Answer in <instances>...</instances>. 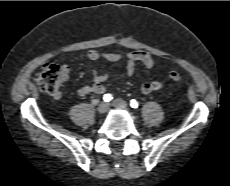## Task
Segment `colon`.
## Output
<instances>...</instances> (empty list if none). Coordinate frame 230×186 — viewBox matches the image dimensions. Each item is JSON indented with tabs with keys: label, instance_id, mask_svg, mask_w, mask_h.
I'll use <instances>...</instances> for the list:
<instances>
[{
	"label": "colon",
	"instance_id": "colon-1",
	"mask_svg": "<svg viewBox=\"0 0 230 186\" xmlns=\"http://www.w3.org/2000/svg\"><path fill=\"white\" fill-rule=\"evenodd\" d=\"M169 78L173 81H180L182 74L179 71H170ZM35 82L41 91L52 95L58 94L63 85L59 67L53 63L43 64L36 74Z\"/></svg>",
	"mask_w": 230,
	"mask_h": 186
}]
</instances>
